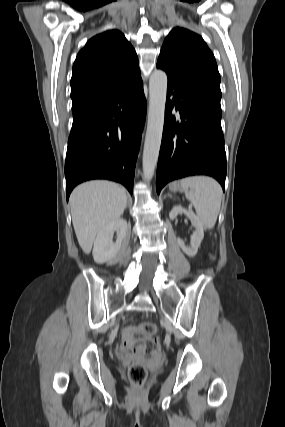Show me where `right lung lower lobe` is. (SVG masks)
Wrapping results in <instances>:
<instances>
[{
  "mask_svg": "<svg viewBox=\"0 0 285 427\" xmlns=\"http://www.w3.org/2000/svg\"><path fill=\"white\" fill-rule=\"evenodd\" d=\"M73 111L65 162L66 197L79 183L108 179L132 194L146 115L141 76Z\"/></svg>",
  "mask_w": 285,
  "mask_h": 427,
  "instance_id": "obj_1",
  "label": "right lung lower lobe"
}]
</instances>
